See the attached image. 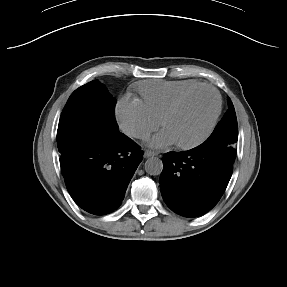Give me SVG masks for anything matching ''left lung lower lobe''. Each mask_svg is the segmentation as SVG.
<instances>
[{
	"mask_svg": "<svg viewBox=\"0 0 287 287\" xmlns=\"http://www.w3.org/2000/svg\"><path fill=\"white\" fill-rule=\"evenodd\" d=\"M231 175L232 164L203 144L184 152L171 151L163 157L161 194L175 213L197 217L217 204Z\"/></svg>",
	"mask_w": 287,
	"mask_h": 287,
	"instance_id": "left-lung-lower-lobe-1",
	"label": "left lung lower lobe"
}]
</instances>
